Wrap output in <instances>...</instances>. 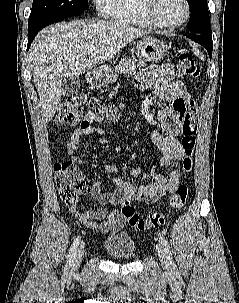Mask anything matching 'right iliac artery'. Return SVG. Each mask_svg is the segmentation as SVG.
<instances>
[{
	"mask_svg": "<svg viewBox=\"0 0 239 303\" xmlns=\"http://www.w3.org/2000/svg\"><path fill=\"white\" fill-rule=\"evenodd\" d=\"M79 243H80V237L77 236L74 239L73 244L71 245V248L69 250V254L67 255V262H66V266H65L66 271H68L70 269V267L72 266V264H73V261L76 257V252H77V248L79 246Z\"/></svg>",
	"mask_w": 239,
	"mask_h": 303,
	"instance_id": "right-iliac-artery-1",
	"label": "right iliac artery"
}]
</instances>
